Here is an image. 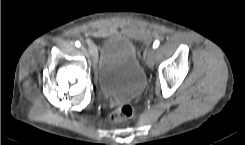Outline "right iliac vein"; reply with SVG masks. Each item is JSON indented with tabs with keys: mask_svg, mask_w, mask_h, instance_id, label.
<instances>
[{
	"mask_svg": "<svg viewBox=\"0 0 245 145\" xmlns=\"http://www.w3.org/2000/svg\"><path fill=\"white\" fill-rule=\"evenodd\" d=\"M80 49H81V51H83L84 53L88 54V51H87V49H86L84 46H81Z\"/></svg>",
	"mask_w": 245,
	"mask_h": 145,
	"instance_id": "63e3f726",
	"label": "right iliac vein"
}]
</instances>
